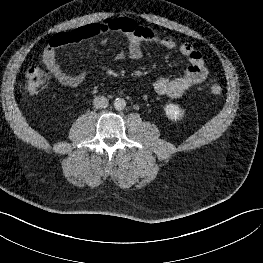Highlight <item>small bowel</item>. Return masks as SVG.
<instances>
[{
  "instance_id": "c3829d8e",
  "label": "small bowel",
  "mask_w": 263,
  "mask_h": 263,
  "mask_svg": "<svg viewBox=\"0 0 263 263\" xmlns=\"http://www.w3.org/2000/svg\"><path fill=\"white\" fill-rule=\"evenodd\" d=\"M115 33H121L127 38L126 56L132 60L142 57V45L145 42H153L169 50H176L188 59L189 66L182 75L173 78L162 77L155 81L154 90L159 95L180 97L191 87L204 82L208 76V70L201 53L191 43L178 42L170 36H160L152 28L139 25L130 18H118L105 23L89 24L72 31L55 34L43 52V62L63 86L76 88L84 82L86 73L71 75L65 72L57 62L56 51L59 48L96 37H101L103 43L108 35Z\"/></svg>"
}]
</instances>
